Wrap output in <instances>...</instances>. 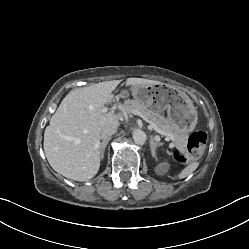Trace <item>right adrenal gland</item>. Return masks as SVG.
<instances>
[{"instance_id": "2a0ac1e0", "label": "right adrenal gland", "mask_w": 249, "mask_h": 249, "mask_svg": "<svg viewBox=\"0 0 249 249\" xmlns=\"http://www.w3.org/2000/svg\"><path fill=\"white\" fill-rule=\"evenodd\" d=\"M109 142V139L103 141L100 145V153H101V159L104 157V152H105V148H106V145L108 144Z\"/></svg>"}]
</instances>
